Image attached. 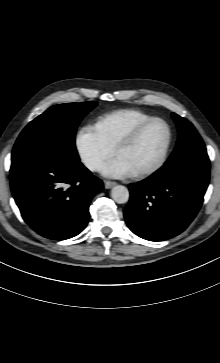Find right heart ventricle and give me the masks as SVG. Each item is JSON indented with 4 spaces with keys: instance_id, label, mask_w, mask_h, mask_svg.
Segmentation results:
<instances>
[{
    "instance_id": "right-heart-ventricle-1",
    "label": "right heart ventricle",
    "mask_w": 220,
    "mask_h": 363,
    "mask_svg": "<svg viewBox=\"0 0 220 363\" xmlns=\"http://www.w3.org/2000/svg\"><path fill=\"white\" fill-rule=\"evenodd\" d=\"M152 117L138 109H121L99 117L94 127L104 141L113 148L122 136Z\"/></svg>"
}]
</instances>
